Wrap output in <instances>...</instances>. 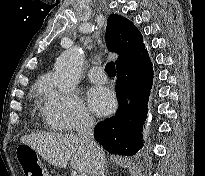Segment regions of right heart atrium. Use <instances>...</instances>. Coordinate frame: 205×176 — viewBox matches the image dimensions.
Masks as SVG:
<instances>
[{
	"mask_svg": "<svg viewBox=\"0 0 205 176\" xmlns=\"http://www.w3.org/2000/svg\"><path fill=\"white\" fill-rule=\"evenodd\" d=\"M43 112L49 125L60 131L89 127L94 121L77 94L57 90L50 80L44 90Z\"/></svg>",
	"mask_w": 205,
	"mask_h": 176,
	"instance_id": "obj_1",
	"label": "right heart atrium"
}]
</instances>
